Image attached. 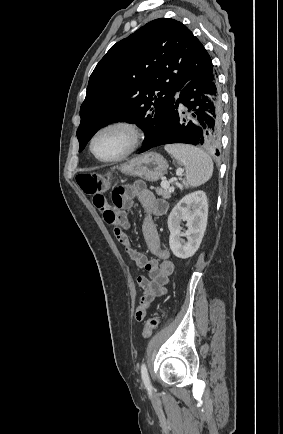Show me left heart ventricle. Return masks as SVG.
I'll return each mask as SVG.
<instances>
[{
	"instance_id": "1",
	"label": "left heart ventricle",
	"mask_w": 283,
	"mask_h": 434,
	"mask_svg": "<svg viewBox=\"0 0 283 434\" xmlns=\"http://www.w3.org/2000/svg\"><path fill=\"white\" fill-rule=\"evenodd\" d=\"M128 146V136L120 129L101 133L94 143V150L100 157L110 158L121 154Z\"/></svg>"
}]
</instances>
